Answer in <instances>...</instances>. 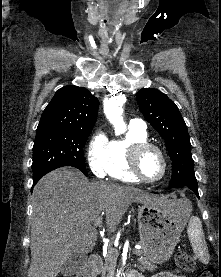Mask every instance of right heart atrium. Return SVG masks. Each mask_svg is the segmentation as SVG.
<instances>
[{
  "label": "right heart atrium",
  "mask_w": 221,
  "mask_h": 277,
  "mask_svg": "<svg viewBox=\"0 0 221 277\" xmlns=\"http://www.w3.org/2000/svg\"><path fill=\"white\" fill-rule=\"evenodd\" d=\"M109 140L102 130H98L92 136L87 147L88 165L97 177L105 175V167L108 158Z\"/></svg>",
  "instance_id": "1"
}]
</instances>
